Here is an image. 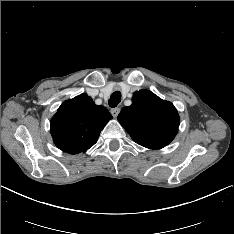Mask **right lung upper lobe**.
I'll list each match as a JSON object with an SVG mask.
<instances>
[{"mask_svg": "<svg viewBox=\"0 0 234 234\" xmlns=\"http://www.w3.org/2000/svg\"><path fill=\"white\" fill-rule=\"evenodd\" d=\"M112 118L102 105H96L87 94L61 104L50 122L55 145L64 152L77 154L92 147L101 130Z\"/></svg>", "mask_w": 234, "mask_h": 234, "instance_id": "right-lung-upper-lobe-1", "label": "right lung upper lobe"}]
</instances>
